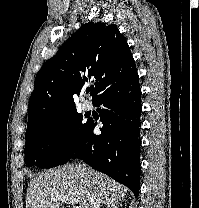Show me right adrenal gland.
I'll return each instance as SVG.
<instances>
[{
  "mask_svg": "<svg viewBox=\"0 0 199 208\" xmlns=\"http://www.w3.org/2000/svg\"><path fill=\"white\" fill-rule=\"evenodd\" d=\"M118 203L119 202L108 203L106 208H118Z\"/></svg>",
  "mask_w": 199,
  "mask_h": 208,
  "instance_id": "right-adrenal-gland-1",
  "label": "right adrenal gland"
}]
</instances>
